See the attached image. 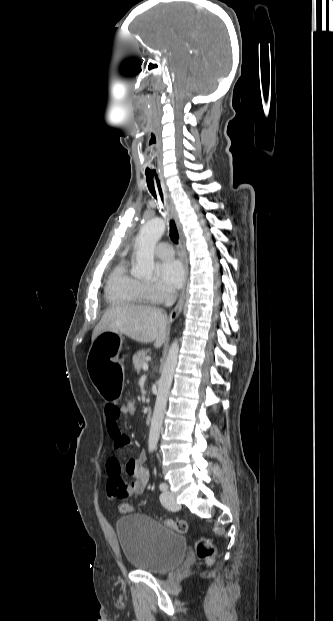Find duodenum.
I'll list each match as a JSON object with an SVG mask.
<instances>
[{
    "label": "duodenum",
    "mask_w": 333,
    "mask_h": 621,
    "mask_svg": "<svg viewBox=\"0 0 333 621\" xmlns=\"http://www.w3.org/2000/svg\"><path fill=\"white\" fill-rule=\"evenodd\" d=\"M151 420H152V410L148 409L147 412H146V422L150 423Z\"/></svg>",
    "instance_id": "1"
}]
</instances>
